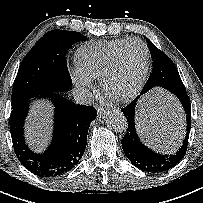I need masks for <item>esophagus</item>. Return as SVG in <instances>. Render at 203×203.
<instances>
[{"instance_id": "obj_1", "label": "esophagus", "mask_w": 203, "mask_h": 203, "mask_svg": "<svg viewBox=\"0 0 203 203\" xmlns=\"http://www.w3.org/2000/svg\"><path fill=\"white\" fill-rule=\"evenodd\" d=\"M106 112H107V109H106V108L99 107V108L97 109V113H98V115H99L100 117L103 116V115H105Z\"/></svg>"}]
</instances>
